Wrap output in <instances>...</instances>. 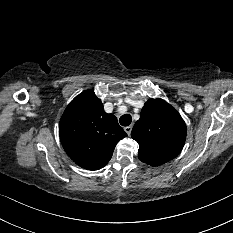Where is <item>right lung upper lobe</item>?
Instances as JSON below:
<instances>
[{"instance_id":"right-lung-upper-lobe-1","label":"right lung upper lobe","mask_w":233,"mask_h":233,"mask_svg":"<svg viewBox=\"0 0 233 233\" xmlns=\"http://www.w3.org/2000/svg\"><path fill=\"white\" fill-rule=\"evenodd\" d=\"M59 134L68 156L87 170L107 165L116 144L127 136L117 118L103 110L101 100L91 90L82 92L67 106Z\"/></svg>"}]
</instances>
